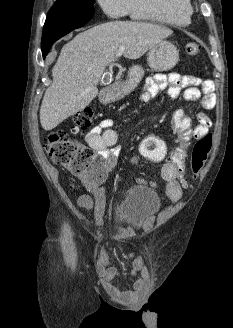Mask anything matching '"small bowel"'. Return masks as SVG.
<instances>
[{
	"instance_id": "1",
	"label": "small bowel",
	"mask_w": 233,
	"mask_h": 328,
	"mask_svg": "<svg viewBox=\"0 0 233 328\" xmlns=\"http://www.w3.org/2000/svg\"><path fill=\"white\" fill-rule=\"evenodd\" d=\"M164 90H167L170 98H176L183 90L185 100L189 102L201 100L202 106L206 110L212 109L215 105L214 83L211 80L192 75L182 76L177 73L155 75L147 82V88L141 99L148 101ZM197 121L198 123L193 129V138L195 139L207 135L211 126V120L205 112L197 115ZM112 126L113 120L103 119L85 137L86 144L103 159V176L99 180L86 182L85 188L88 194L79 196L77 204L82 209L92 210L97 222L102 221L106 207V191L102 181L105 175L115 167L119 154V148L116 146L117 133ZM133 161L137 166H142L138 159ZM161 176L166 183L168 198L172 201L179 200L182 196V181L178 169L168 161L161 168ZM137 182L139 184L146 183L142 178H138ZM151 185H156V183L152 182ZM130 261L131 275L135 278L132 289L125 285L113 284L117 268L107 254H102L98 261V271L104 290L120 303L136 302L142 299L149 289V273L143 259L131 255Z\"/></svg>"
}]
</instances>
